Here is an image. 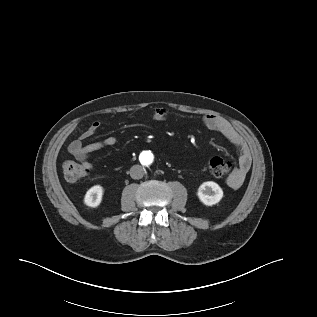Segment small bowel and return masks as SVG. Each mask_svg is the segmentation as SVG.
I'll list each match as a JSON object with an SVG mask.
<instances>
[{"instance_id": "c3829d8e", "label": "small bowel", "mask_w": 317, "mask_h": 317, "mask_svg": "<svg viewBox=\"0 0 317 317\" xmlns=\"http://www.w3.org/2000/svg\"><path fill=\"white\" fill-rule=\"evenodd\" d=\"M170 113L166 108L157 107L153 110L152 117L157 121H164L169 117ZM202 122L205 127L215 132L220 133L234 146L240 149L238 166L232 171L227 178L229 187L239 188L251 167V156L243 146V141L238 132L233 126L223 117L216 114H205L202 117ZM101 128L100 122H93L86 130H84L78 139L71 142L68 146L69 153L75 157L82 165L88 169H92L93 165L90 162V155L106 147L114 146L117 143V138L108 136L102 140L85 144L84 141L94 136Z\"/></svg>"}]
</instances>
